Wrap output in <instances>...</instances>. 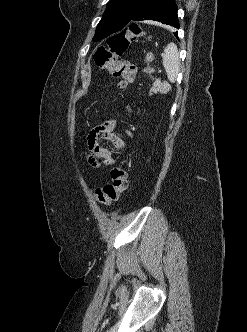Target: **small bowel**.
Instances as JSON below:
<instances>
[{"label": "small bowel", "instance_id": "1", "mask_svg": "<svg viewBox=\"0 0 247 332\" xmlns=\"http://www.w3.org/2000/svg\"><path fill=\"white\" fill-rule=\"evenodd\" d=\"M128 135L131 137V133ZM102 141L113 143L118 149L125 147L123 137L116 131L115 120H107L92 128L87 135V145L90 152L89 162L96 166L98 161L111 164L110 151L102 145Z\"/></svg>", "mask_w": 247, "mask_h": 332}]
</instances>
